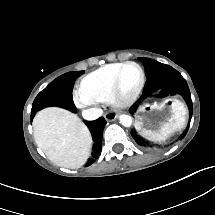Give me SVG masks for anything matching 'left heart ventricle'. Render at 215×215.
Segmentation results:
<instances>
[{
  "mask_svg": "<svg viewBox=\"0 0 215 215\" xmlns=\"http://www.w3.org/2000/svg\"><path fill=\"white\" fill-rule=\"evenodd\" d=\"M119 75L121 80L119 87L126 89L131 94L139 77L137 69L132 66H126Z\"/></svg>",
  "mask_w": 215,
  "mask_h": 215,
  "instance_id": "obj_1",
  "label": "left heart ventricle"
}]
</instances>
